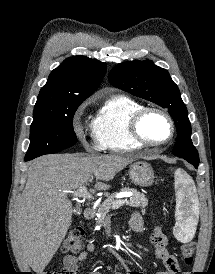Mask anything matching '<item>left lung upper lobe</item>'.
<instances>
[{
	"instance_id": "5c2ea615",
	"label": "left lung upper lobe",
	"mask_w": 215,
	"mask_h": 274,
	"mask_svg": "<svg viewBox=\"0 0 215 274\" xmlns=\"http://www.w3.org/2000/svg\"><path fill=\"white\" fill-rule=\"evenodd\" d=\"M108 77L115 87L168 109L178 134L173 154L185 160L199 161L191 140L187 108L167 70L149 60L128 61L115 66Z\"/></svg>"
}]
</instances>
